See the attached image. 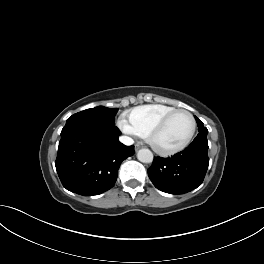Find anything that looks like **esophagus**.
Masks as SVG:
<instances>
[{
	"label": "esophagus",
	"instance_id": "obj_1",
	"mask_svg": "<svg viewBox=\"0 0 264 264\" xmlns=\"http://www.w3.org/2000/svg\"><path fill=\"white\" fill-rule=\"evenodd\" d=\"M139 148H141V146L139 144L135 145V150H138Z\"/></svg>",
	"mask_w": 264,
	"mask_h": 264
}]
</instances>
